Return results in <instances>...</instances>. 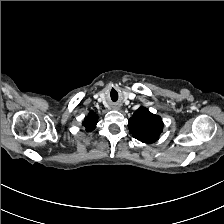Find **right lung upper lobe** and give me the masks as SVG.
<instances>
[{"mask_svg":"<svg viewBox=\"0 0 224 224\" xmlns=\"http://www.w3.org/2000/svg\"><path fill=\"white\" fill-rule=\"evenodd\" d=\"M98 116L91 111L89 116L83 121V125L86 128V131L90 132L95 129L97 124Z\"/></svg>","mask_w":224,"mask_h":224,"instance_id":"obj_1","label":"right lung upper lobe"}]
</instances>
